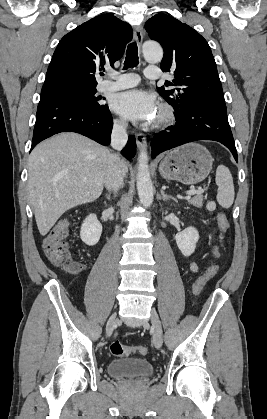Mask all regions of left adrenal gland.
Listing matches in <instances>:
<instances>
[{
  "instance_id": "1",
  "label": "left adrenal gland",
  "mask_w": 267,
  "mask_h": 419,
  "mask_svg": "<svg viewBox=\"0 0 267 419\" xmlns=\"http://www.w3.org/2000/svg\"><path fill=\"white\" fill-rule=\"evenodd\" d=\"M160 192H161V198H162L163 201H167V200L172 199L173 201L177 202V200L174 197L165 194L164 190H161Z\"/></svg>"
}]
</instances>
